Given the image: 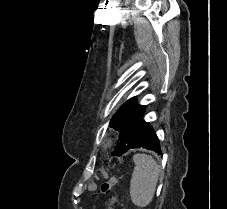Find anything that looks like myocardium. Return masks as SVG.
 Wrapping results in <instances>:
<instances>
[{
  "label": "myocardium",
  "instance_id": "1",
  "mask_svg": "<svg viewBox=\"0 0 227 209\" xmlns=\"http://www.w3.org/2000/svg\"><path fill=\"white\" fill-rule=\"evenodd\" d=\"M97 144L103 150H109L114 144V138L110 134L104 135L98 140Z\"/></svg>",
  "mask_w": 227,
  "mask_h": 209
}]
</instances>
